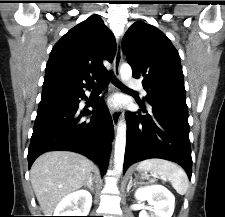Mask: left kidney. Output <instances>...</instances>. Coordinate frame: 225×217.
Instances as JSON below:
<instances>
[{"instance_id":"5707ae66","label":"left kidney","mask_w":225,"mask_h":217,"mask_svg":"<svg viewBox=\"0 0 225 217\" xmlns=\"http://www.w3.org/2000/svg\"><path fill=\"white\" fill-rule=\"evenodd\" d=\"M135 198L147 200L150 212L142 210L139 217H171L175 207L174 195L162 185L140 187L135 192Z\"/></svg>"}]
</instances>
